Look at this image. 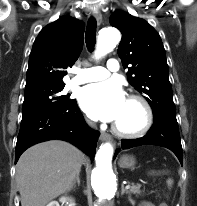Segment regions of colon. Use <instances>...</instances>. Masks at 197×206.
Returning <instances> with one entry per match:
<instances>
[{"label":"colon","mask_w":197,"mask_h":206,"mask_svg":"<svg viewBox=\"0 0 197 206\" xmlns=\"http://www.w3.org/2000/svg\"><path fill=\"white\" fill-rule=\"evenodd\" d=\"M160 206H167L166 204H161Z\"/></svg>","instance_id":"colon-1"}]
</instances>
